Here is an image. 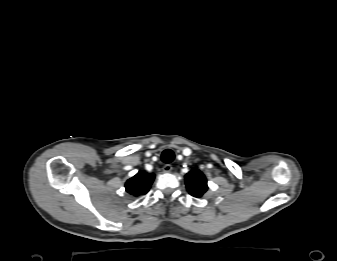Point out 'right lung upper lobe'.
<instances>
[{"label": "right lung upper lobe", "mask_w": 337, "mask_h": 261, "mask_svg": "<svg viewBox=\"0 0 337 261\" xmlns=\"http://www.w3.org/2000/svg\"><path fill=\"white\" fill-rule=\"evenodd\" d=\"M154 178L155 175L153 173L139 171L126 182V191L133 196L146 194L149 191Z\"/></svg>", "instance_id": "1"}]
</instances>
